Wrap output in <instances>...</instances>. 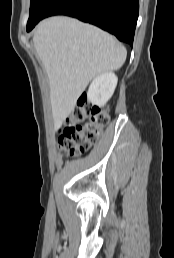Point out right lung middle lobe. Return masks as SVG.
I'll list each match as a JSON object with an SVG mask.
<instances>
[{"label":"right lung middle lobe","instance_id":"obj_1","mask_svg":"<svg viewBox=\"0 0 174 258\" xmlns=\"http://www.w3.org/2000/svg\"><path fill=\"white\" fill-rule=\"evenodd\" d=\"M56 1L57 0H31L30 15L27 22L28 32L31 31L40 20L45 18V13Z\"/></svg>","mask_w":174,"mask_h":258}]
</instances>
